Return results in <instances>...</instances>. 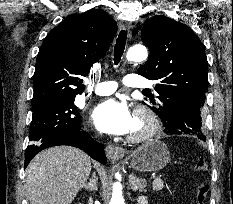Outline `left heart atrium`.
<instances>
[{
  "mask_svg": "<svg viewBox=\"0 0 233 204\" xmlns=\"http://www.w3.org/2000/svg\"><path fill=\"white\" fill-rule=\"evenodd\" d=\"M91 117L98 130L113 135L130 133L134 123V116L127 104L114 98L99 103Z\"/></svg>",
  "mask_w": 233,
  "mask_h": 204,
  "instance_id": "obj_1",
  "label": "left heart atrium"
}]
</instances>
